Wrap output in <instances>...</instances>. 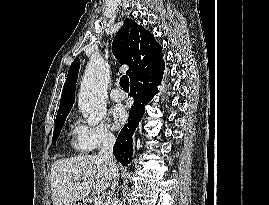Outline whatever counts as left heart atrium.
I'll return each mask as SVG.
<instances>
[{
  "mask_svg": "<svg viewBox=\"0 0 269 205\" xmlns=\"http://www.w3.org/2000/svg\"><path fill=\"white\" fill-rule=\"evenodd\" d=\"M111 114H112L113 123L115 127H120L126 122L127 113H126L125 108L122 105L114 106L111 111Z\"/></svg>",
  "mask_w": 269,
  "mask_h": 205,
  "instance_id": "left-heart-atrium-1",
  "label": "left heart atrium"
}]
</instances>
